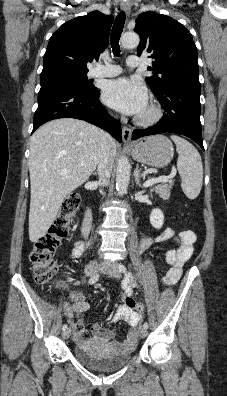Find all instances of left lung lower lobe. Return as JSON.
I'll list each match as a JSON object with an SVG mask.
<instances>
[{
    "label": "left lung lower lobe",
    "mask_w": 227,
    "mask_h": 396,
    "mask_svg": "<svg viewBox=\"0 0 227 396\" xmlns=\"http://www.w3.org/2000/svg\"><path fill=\"white\" fill-rule=\"evenodd\" d=\"M200 86H172L164 93L156 95L164 108L162 119L147 129L134 130L132 139L159 133H176L194 140L202 149L200 123Z\"/></svg>",
    "instance_id": "0a47b994"
}]
</instances>
